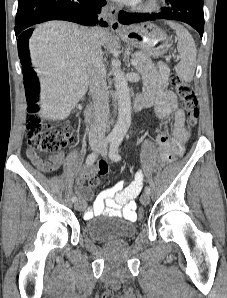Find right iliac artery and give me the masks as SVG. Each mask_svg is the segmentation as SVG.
Here are the masks:
<instances>
[{
    "instance_id": "right-iliac-artery-1",
    "label": "right iliac artery",
    "mask_w": 227,
    "mask_h": 298,
    "mask_svg": "<svg viewBox=\"0 0 227 298\" xmlns=\"http://www.w3.org/2000/svg\"><path fill=\"white\" fill-rule=\"evenodd\" d=\"M112 140H113V138L107 137L106 140H105V144L111 142ZM97 156H98V152H93V153L89 154L88 157H87V159H86V164L87 165H92L95 162ZM71 200H72V202H76L77 201V197L76 196H73L71 198Z\"/></svg>"
}]
</instances>
